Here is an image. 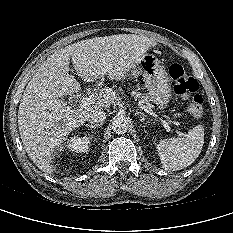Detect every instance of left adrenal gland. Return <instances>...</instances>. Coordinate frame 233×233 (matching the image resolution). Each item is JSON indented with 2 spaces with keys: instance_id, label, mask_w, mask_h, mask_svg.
Here are the masks:
<instances>
[{
  "instance_id": "obj_1",
  "label": "left adrenal gland",
  "mask_w": 233,
  "mask_h": 233,
  "mask_svg": "<svg viewBox=\"0 0 233 233\" xmlns=\"http://www.w3.org/2000/svg\"><path fill=\"white\" fill-rule=\"evenodd\" d=\"M136 114H140V116H141V119H140V121L144 124V126L143 127H145V115H144V113H142V112H136Z\"/></svg>"
}]
</instances>
